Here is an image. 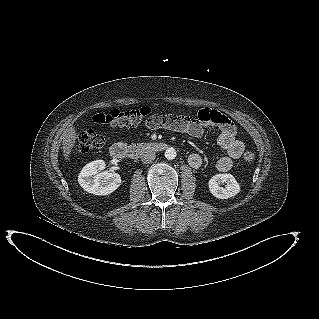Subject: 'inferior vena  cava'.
Wrapping results in <instances>:
<instances>
[{
    "mask_svg": "<svg viewBox=\"0 0 319 319\" xmlns=\"http://www.w3.org/2000/svg\"><path fill=\"white\" fill-rule=\"evenodd\" d=\"M155 158H156V154L155 152L151 150H147L143 152L140 156L141 161L145 164L151 163Z\"/></svg>",
    "mask_w": 319,
    "mask_h": 319,
    "instance_id": "602c4592",
    "label": "inferior vena cava"
}]
</instances>
